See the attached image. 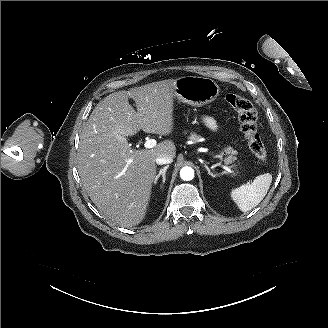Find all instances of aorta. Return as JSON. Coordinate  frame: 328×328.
Here are the masks:
<instances>
[{
  "mask_svg": "<svg viewBox=\"0 0 328 328\" xmlns=\"http://www.w3.org/2000/svg\"><path fill=\"white\" fill-rule=\"evenodd\" d=\"M180 177L184 181H190L194 178V170L191 167H188V166L183 167L180 170Z\"/></svg>",
  "mask_w": 328,
  "mask_h": 328,
  "instance_id": "obj_1",
  "label": "aorta"
}]
</instances>
